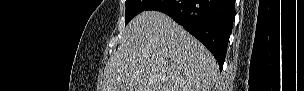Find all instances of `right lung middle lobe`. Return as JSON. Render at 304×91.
I'll list each match as a JSON object with an SVG mask.
<instances>
[{
    "label": "right lung middle lobe",
    "instance_id": "1",
    "mask_svg": "<svg viewBox=\"0 0 304 91\" xmlns=\"http://www.w3.org/2000/svg\"><path fill=\"white\" fill-rule=\"evenodd\" d=\"M152 2V0H126L125 25Z\"/></svg>",
    "mask_w": 304,
    "mask_h": 91
}]
</instances>
